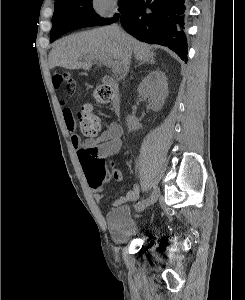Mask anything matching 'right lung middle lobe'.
Instances as JSON below:
<instances>
[{
  "label": "right lung middle lobe",
  "mask_w": 245,
  "mask_h": 300,
  "mask_svg": "<svg viewBox=\"0 0 245 300\" xmlns=\"http://www.w3.org/2000/svg\"><path fill=\"white\" fill-rule=\"evenodd\" d=\"M136 1L137 0H121L118 9L120 14L117 13L113 18L105 19L95 13L92 0H58L54 7L50 42L57 39L58 33L55 24L61 19L79 22L83 27L109 25L117 21Z\"/></svg>",
  "instance_id": "1"
}]
</instances>
